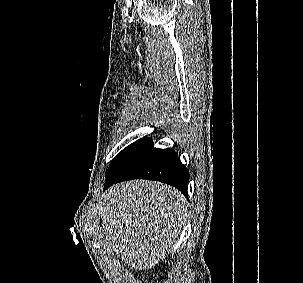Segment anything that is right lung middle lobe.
<instances>
[{"mask_svg":"<svg viewBox=\"0 0 303 283\" xmlns=\"http://www.w3.org/2000/svg\"><path fill=\"white\" fill-rule=\"evenodd\" d=\"M134 144V143H133ZM129 145L128 147H126L125 149H123L118 155H116V157L112 160L108 172L119 162V160L123 157V155L125 154V152L133 145Z\"/></svg>","mask_w":303,"mask_h":283,"instance_id":"1","label":"right lung middle lobe"}]
</instances>
